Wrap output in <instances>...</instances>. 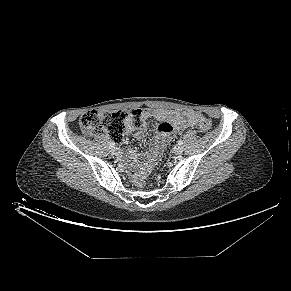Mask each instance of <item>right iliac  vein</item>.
<instances>
[{"label":"right iliac vein","instance_id":"right-iliac-vein-1","mask_svg":"<svg viewBox=\"0 0 291 291\" xmlns=\"http://www.w3.org/2000/svg\"><path fill=\"white\" fill-rule=\"evenodd\" d=\"M111 153H112V155L117 156V155H119L120 152H119V150L117 148H113L111 150Z\"/></svg>","mask_w":291,"mask_h":291}]
</instances>
